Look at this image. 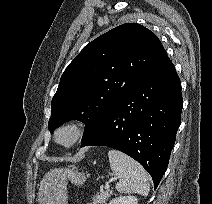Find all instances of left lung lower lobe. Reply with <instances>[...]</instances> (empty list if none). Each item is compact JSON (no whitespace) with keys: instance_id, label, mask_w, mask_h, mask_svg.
I'll return each instance as SVG.
<instances>
[{"instance_id":"obj_1","label":"left lung lower lobe","mask_w":212,"mask_h":204,"mask_svg":"<svg viewBox=\"0 0 212 204\" xmlns=\"http://www.w3.org/2000/svg\"><path fill=\"white\" fill-rule=\"evenodd\" d=\"M181 82L168 56L111 107L81 143L108 146L138 161L157 188L181 122Z\"/></svg>"}]
</instances>
